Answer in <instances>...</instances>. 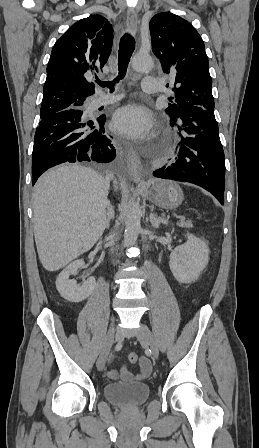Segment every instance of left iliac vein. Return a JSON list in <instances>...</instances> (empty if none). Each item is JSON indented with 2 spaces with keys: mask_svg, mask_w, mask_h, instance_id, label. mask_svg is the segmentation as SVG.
Returning <instances> with one entry per match:
<instances>
[{
  "mask_svg": "<svg viewBox=\"0 0 259 448\" xmlns=\"http://www.w3.org/2000/svg\"><path fill=\"white\" fill-rule=\"evenodd\" d=\"M137 338L140 342L145 343L150 347L153 357L157 359L159 356L158 344L154 335L145 324H141Z\"/></svg>",
  "mask_w": 259,
  "mask_h": 448,
  "instance_id": "obj_1",
  "label": "left iliac vein"
}]
</instances>
